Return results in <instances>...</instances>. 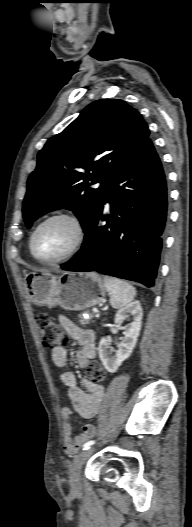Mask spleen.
<instances>
[{"instance_id":"spleen-1","label":"spleen","mask_w":192,"mask_h":527,"mask_svg":"<svg viewBox=\"0 0 192 527\" xmlns=\"http://www.w3.org/2000/svg\"><path fill=\"white\" fill-rule=\"evenodd\" d=\"M104 286L110 294V303L114 309L127 306L136 296V289L121 279L105 276Z\"/></svg>"}]
</instances>
